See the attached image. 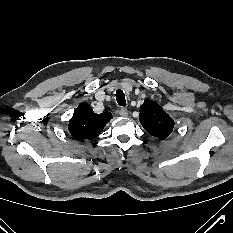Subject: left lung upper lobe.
<instances>
[{
	"label": "left lung upper lobe",
	"instance_id": "1",
	"mask_svg": "<svg viewBox=\"0 0 233 233\" xmlns=\"http://www.w3.org/2000/svg\"><path fill=\"white\" fill-rule=\"evenodd\" d=\"M139 121L150 135L159 139L167 138L174 127V120L152 100H146L140 106Z\"/></svg>",
	"mask_w": 233,
	"mask_h": 233
}]
</instances>
